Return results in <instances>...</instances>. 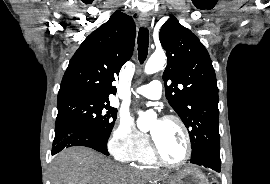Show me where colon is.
Returning <instances> with one entry per match:
<instances>
[{
    "label": "colon",
    "mask_w": 270,
    "mask_h": 184,
    "mask_svg": "<svg viewBox=\"0 0 270 184\" xmlns=\"http://www.w3.org/2000/svg\"><path fill=\"white\" fill-rule=\"evenodd\" d=\"M211 184H217L216 182H212Z\"/></svg>",
    "instance_id": "5ec220e1"
}]
</instances>
